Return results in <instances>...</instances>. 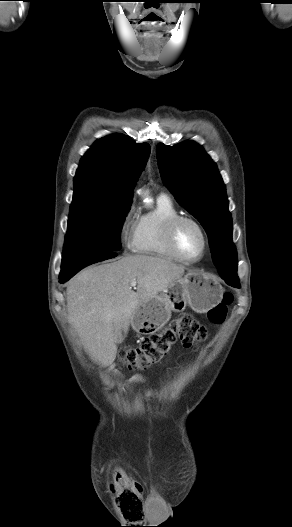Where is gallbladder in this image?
I'll return each instance as SVG.
<instances>
[{
	"instance_id": "obj_1",
	"label": "gallbladder",
	"mask_w": 292,
	"mask_h": 527,
	"mask_svg": "<svg viewBox=\"0 0 292 527\" xmlns=\"http://www.w3.org/2000/svg\"><path fill=\"white\" fill-rule=\"evenodd\" d=\"M116 334V344H120L123 340L122 336L120 335L119 332H115Z\"/></svg>"
}]
</instances>
